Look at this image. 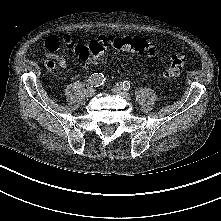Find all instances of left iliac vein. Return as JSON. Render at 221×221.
Wrapping results in <instances>:
<instances>
[{
	"mask_svg": "<svg viewBox=\"0 0 221 221\" xmlns=\"http://www.w3.org/2000/svg\"><path fill=\"white\" fill-rule=\"evenodd\" d=\"M114 94H117L119 96H121L124 99H129L130 98V94L127 90H125L122 86L117 85L112 89Z\"/></svg>",
	"mask_w": 221,
	"mask_h": 221,
	"instance_id": "1",
	"label": "left iliac vein"
}]
</instances>
